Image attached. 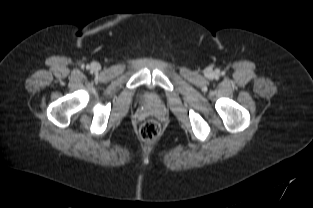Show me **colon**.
<instances>
[{"mask_svg": "<svg viewBox=\"0 0 313 208\" xmlns=\"http://www.w3.org/2000/svg\"><path fill=\"white\" fill-rule=\"evenodd\" d=\"M160 132L161 127L155 120H147L143 122L139 129L140 136L145 142L156 140Z\"/></svg>", "mask_w": 313, "mask_h": 208, "instance_id": "obj_1", "label": "colon"}]
</instances>
